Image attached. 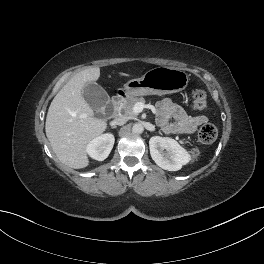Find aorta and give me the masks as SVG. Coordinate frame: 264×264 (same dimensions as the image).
Wrapping results in <instances>:
<instances>
[{
    "instance_id": "1",
    "label": "aorta",
    "mask_w": 264,
    "mask_h": 264,
    "mask_svg": "<svg viewBox=\"0 0 264 264\" xmlns=\"http://www.w3.org/2000/svg\"><path fill=\"white\" fill-rule=\"evenodd\" d=\"M144 130L143 125L140 123H135L132 127V132L135 134H140Z\"/></svg>"
}]
</instances>
